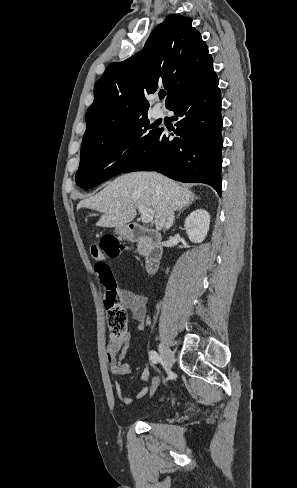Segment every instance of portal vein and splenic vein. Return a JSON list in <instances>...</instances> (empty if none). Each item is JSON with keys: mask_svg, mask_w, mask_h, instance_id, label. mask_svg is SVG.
I'll use <instances>...</instances> for the list:
<instances>
[{"mask_svg": "<svg viewBox=\"0 0 297 488\" xmlns=\"http://www.w3.org/2000/svg\"><path fill=\"white\" fill-rule=\"evenodd\" d=\"M138 210L141 213L142 222L149 223L153 220L154 211L152 208H147L143 205H139Z\"/></svg>", "mask_w": 297, "mask_h": 488, "instance_id": "1", "label": "portal vein and splenic vein"}]
</instances>
